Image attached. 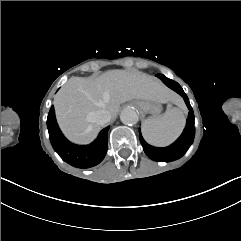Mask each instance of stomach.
Instances as JSON below:
<instances>
[{
    "mask_svg": "<svg viewBox=\"0 0 241 241\" xmlns=\"http://www.w3.org/2000/svg\"><path fill=\"white\" fill-rule=\"evenodd\" d=\"M136 105L145 113L157 116L160 112V104L151 100H137Z\"/></svg>",
    "mask_w": 241,
    "mask_h": 241,
    "instance_id": "0dacf381",
    "label": "stomach"
}]
</instances>
